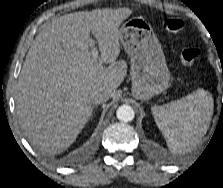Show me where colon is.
<instances>
[{
	"label": "colon",
	"instance_id": "1",
	"mask_svg": "<svg viewBox=\"0 0 223 188\" xmlns=\"http://www.w3.org/2000/svg\"><path fill=\"white\" fill-rule=\"evenodd\" d=\"M163 29L172 35L177 37L182 36L184 32L183 22L177 18H169L163 22ZM180 57L184 65L193 66L198 57L199 50L193 46H183L181 48Z\"/></svg>",
	"mask_w": 223,
	"mask_h": 188
}]
</instances>
